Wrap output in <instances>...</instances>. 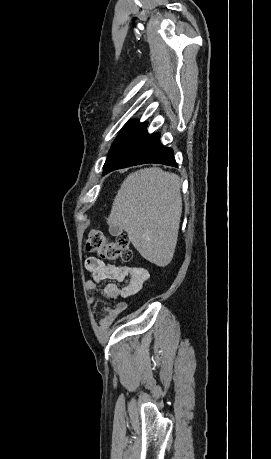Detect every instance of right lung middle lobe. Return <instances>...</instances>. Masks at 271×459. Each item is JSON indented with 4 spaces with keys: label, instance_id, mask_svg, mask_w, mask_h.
I'll return each instance as SVG.
<instances>
[{
    "label": "right lung middle lobe",
    "instance_id": "dd1d6c3e",
    "mask_svg": "<svg viewBox=\"0 0 271 459\" xmlns=\"http://www.w3.org/2000/svg\"><path fill=\"white\" fill-rule=\"evenodd\" d=\"M146 127V122L139 123L138 121H134L126 125L114 141L112 148L109 151L108 157L106 159L104 168L130 141H132Z\"/></svg>",
    "mask_w": 271,
    "mask_h": 459
}]
</instances>
